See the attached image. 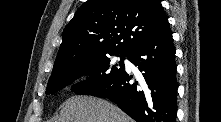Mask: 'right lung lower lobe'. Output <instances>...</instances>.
I'll use <instances>...</instances> for the list:
<instances>
[{"label":"right lung lower lobe","instance_id":"1","mask_svg":"<svg viewBox=\"0 0 221 122\" xmlns=\"http://www.w3.org/2000/svg\"><path fill=\"white\" fill-rule=\"evenodd\" d=\"M127 59L138 67L142 77L130 82L133 75L124 71L91 95L109 98L137 122H175L178 84L169 23Z\"/></svg>","mask_w":221,"mask_h":122}]
</instances>
